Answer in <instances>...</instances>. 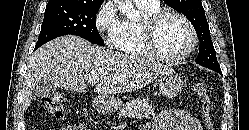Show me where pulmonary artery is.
<instances>
[{
    "label": "pulmonary artery",
    "instance_id": "pulmonary-artery-1",
    "mask_svg": "<svg viewBox=\"0 0 249 130\" xmlns=\"http://www.w3.org/2000/svg\"><path fill=\"white\" fill-rule=\"evenodd\" d=\"M136 2L151 4V5H157L159 4L158 0H134Z\"/></svg>",
    "mask_w": 249,
    "mask_h": 130
}]
</instances>
